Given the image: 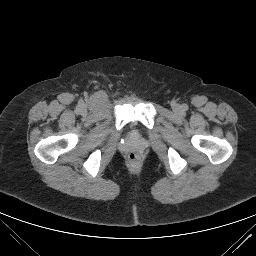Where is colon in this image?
<instances>
[{"label":"colon","instance_id":"1","mask_svg":"<svg viewBox=\"0 0 256 256\" xmlns=\"http://www.w3.org/2000/svg\"><path fill=\"white\" fill-rule=\"evenodd\" d=\"M128 159L132 164H136L139 162L140 158L136 153H130Z\"/></svg>","mask_w":256,"mask_h":256}]
</instances>
